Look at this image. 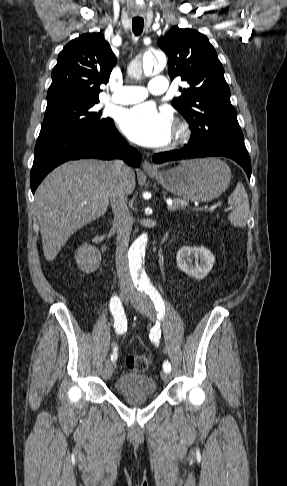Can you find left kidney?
<instances>
[{"label":"left kidney","instance_id":"5707ae66","mask_svg":"<svg viewBox=\"0 0 287 486\" xmlns=\"http://www.w3.org/2000/svg\"><path fill=\"white\" fill-rule=\"evenodd\" d=\"M193 258L195 263H193ZM214 255L204 246L182 247L177 253V265L187 275L201 280L211 271Z\"/></svg>","mask_w":287,"mask_h":486}]
</instances>
